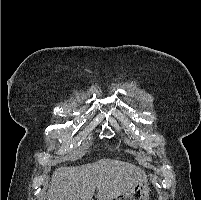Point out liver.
I'll list each match as a JSON object with an SVG mask.
<instances>
[{
    "label": "liver",
    "mask_w": 201,
    "mask_h": 200,
    "mask_svg": "<svg viewBox=\"0 0 201 200\" xmlns=\"http://www.w3.org/2000/svg\"><path fill=\"white\" fill-rule=\"evenodd\" d=\"M140 182L145 172L125 161L103 158L78 167H60L53 173L47 200H112Z\"/></svg>",
    "instance_id": "obj_1"
}]
</instances>
